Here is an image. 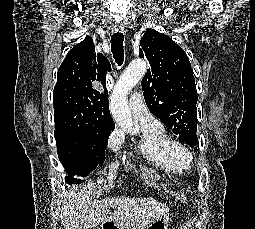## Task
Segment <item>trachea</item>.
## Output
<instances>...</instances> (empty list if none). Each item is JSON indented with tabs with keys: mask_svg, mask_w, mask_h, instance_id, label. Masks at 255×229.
Returning a JSON list of instances; mask_svg holds the SVG:
<instances>
[{
	"mask_svg": "<svg viewBox=\"0 0 255 229\" xmlns=\"http://www.w3.org/2000/svg\"><path fill=\"white\" fill-rule=\"evenodd\" d=\"M124 35L121 32L114 33L111 37V49L113 57L118 66H121L124 61L123 49Z\"/></svg>",
	"mask_w": 255,
	"mask_h": 229,
	"instance_id": "obj_1",
	"label": "trachea"
}]
</instances>
